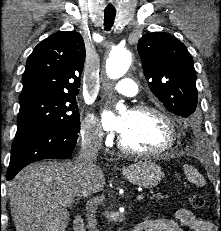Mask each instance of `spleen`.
<instances>
[{"mask_svg":"<svg viewBox=\"0 0 221 231\" xmlns=\"http://www.w3.org/2000/svg\"><path fill=\"white\" fill-rule=\"evenodd\" d=\"M184 173L190 182H194L197 185H203L204 180L201 178V175L199 174V172L192 166L185 165Z\"/></svg>","mask_w":221,"mask_h":231,"instance_id":"obj_1","label":"spleen"}]
</instances>
